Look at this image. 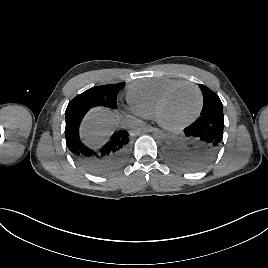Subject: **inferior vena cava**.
Wrapping results in <instances>:
<instances>
[{"instance_id": "1", "label": "inferior vena cava", "mask_w": 268, "mask_h": 268, "mask_svg": "<svg viewBox=\"0 0 268 268\" xmlns=\"http://www.w3.org/2000/svg\"><path fill=\"white\" fill-rule=\"evenodd\" d=\"M124 124H127V121H124Z\"/></svg>"}]
</instances>
